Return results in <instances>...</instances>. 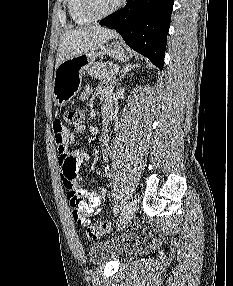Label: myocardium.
<instances>
[{"label":"myocardium","instance_id":"1","mask_svg":"<svg viewBox=\"0 0 233 286\" xmlns=\"http://www.w3.org/2000/svg\"><path fill=\"white\" fill-rule=\"evenodd\" d=\"M83 13L93 21L101 20L115 13L125 2V0H118L117 3L110 9L98 13L95 11L92 0H80Z\"/></svg>","mask_w":233,"mask_h":286}]
</instances>
